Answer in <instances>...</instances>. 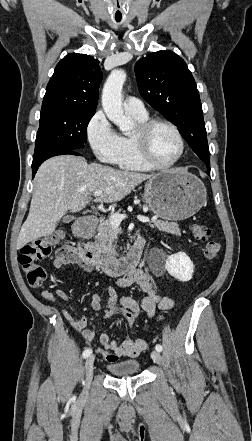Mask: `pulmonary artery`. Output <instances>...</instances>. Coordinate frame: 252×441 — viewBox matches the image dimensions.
<instances>
[{"mask_svg":"<svg viewBox=\"0 0 252 441\" xmlns=\"http://www.w3.org/2000/svg\"><path fill=\"white\" fill-rule=\"evenodd\" d=\"M124 110L135 116H146L147 111L141 100L135 97H127L123 102Z\"/></svg>","mask_w":252,"mask_h":441,"instance_id":"obj_1","label":"pulmonary artery"}]
</instances>
